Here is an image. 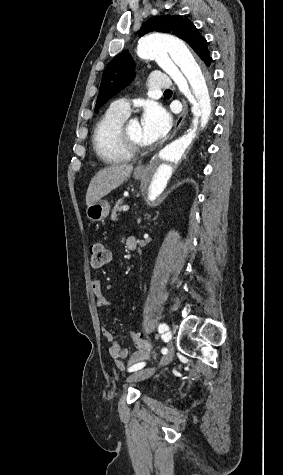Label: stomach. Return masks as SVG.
I'll return each mask as SVG.
<instances>
[{
    "instance_id": "obj_1",
    "label": "stomach",
    "mask_w": 283,
    "mask_h": 475,
    "mask_svg": "<svg viewBox=\"0 0 283 475\" xmlns=\"http://www.w3.org/2000/svg\"><path fill=\"white\" fill-rule=\"evenodd\" d=\"M146 172H133L134 180H143V178H147L149 174V168H145ZM110 206L107 200H99V202H95V204H91L88 206L86 210L87 218L91 220V222H100V220H104L107 218L109 214Z\"/></svg>"
}]
</instances>
